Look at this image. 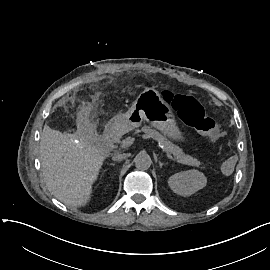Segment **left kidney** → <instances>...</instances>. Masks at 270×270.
Segmentation results:
<instances>
[{
    "label": "left kidney",
    "instance_id": "1",
    "mask_svg": "<svg viewBox=\"0 0 270 270\" xmlns=\"http://www.w3.org/2000/svg\"><path fill=\"white\" fill-rule=\"evenodd\" d=\"M207 178L198 170H187L169 177L168 185L172 191L181 196H190L204 188Z\"/></svg>",
    "mask_w": 270,
    "mask_h": 270
}]
</instances>
